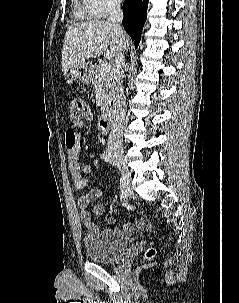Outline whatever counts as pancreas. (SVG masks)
Returning a JSON list of instances; mask_svg holds the SVG:
<instances>
[{
  "mask_svg": "<svg viewBox=\"0 0 239 303\" xmlns=\"http://www.w3.org/2000/svg\"><path fill=\"white\" fill-rule=\"evenodd\" d=\"M101 64H94L90 66L91 82L98 95V106L101 112L105 113L111 106V77L109 74L102 76L100 74Z\"/></svg>",
  "mask_w": 239,
  "mask_h": 303,
  "instance_id": "pancreas-1",
  "label": "pancreas"
}]
</instances>
